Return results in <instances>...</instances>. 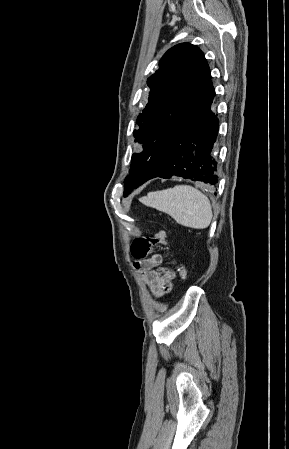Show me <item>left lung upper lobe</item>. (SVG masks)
I'll use <instances>...</instances> for the list:
<instances>
[{
  "label": "left lung upper lobe",
  "instance_id": "1",
  "mask_svg": "<svg viewBox=\"0 0 289 449\" xmlns=\"http://www.w3.org/2000/svg\"><path fill=\"white\" fill-rule=\"evenodd\" d=\"M210 78L204 54L192 44H178L163 55L159 69L147 80L148 103L137 119L143 123L134 132L135 141L143 142V151L132 155L125 196L162 171L165 139L188 119Z\"/></svg>",
  "mask_w": 289,
  "mask_h": 449
}]
</instances>
